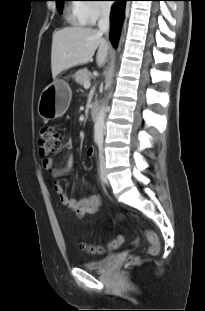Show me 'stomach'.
I'll return each instance as SVG.
<instances>
[{"label": "stomach", "instance_id": "obj_1", "mask_svg": "<svg viewBox=\"0 0 205 311\" xmlns=\"http://www.w3.org/2000/svg\"><path fill=\"white\" fill-rule=\"evenodd\" d=\"M71 89L63 81L56 80L48 85L40 95L38 113L45 120L61 117L69 107Z\"/></svg>", "mask_w": 205, "mask_h": 311}]
</instances>
